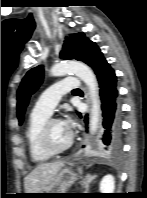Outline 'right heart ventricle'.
<instances>
[{
	"label": "right heart ventricle",
	"mask_w": 147,
	"mask_h": 198,
	"mask_svg": "<svg viewBox=\"0 0 147 198\" xmlns=\"http://www.w3.org/2000/svg\"><path fill=\"white\" fill-rule=\"evenodd\" d=\"M49 115L32 111L25 129V139L28 153L34 163L40 164L48 161L52 156L46 153L40 143V133Z\"/></svg>",
	"instance_id": "e07e8e85"
}]
</instances>
